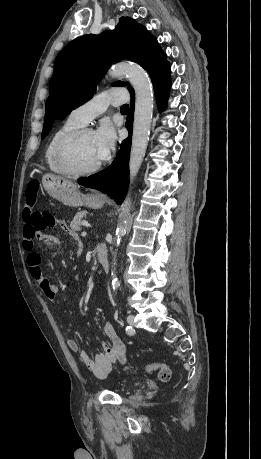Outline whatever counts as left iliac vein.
<instances>
[{
	"label": "left iliac vein",
	"mask_w": 261,
	"mask_h": 459,
	"mask_svg": "<svg viewBox=\"0 0 261 459\" xmlns=\"http://www.w3.org/2000/svg\"><path fill=\"white\" fill-rule=\"evenodd\" d=\"M127 322L130 324V326H134V316L133 315H129L127 317Z\"/></svg>",
	"instance_id": "obj_1"
}]
</instances>
